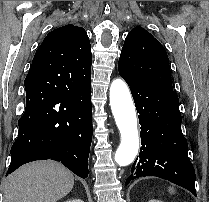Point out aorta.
I'll use <instances>...</instances> for the list:
<instances>
[{
  "mask_svg": "<svg viewBox=\"0 0 209 202\" xmlns=\"http://www.w3.org/2000/svg\"><path fill=\"white\" fill-rule=\"evenodd\" d=\"M110 106L120 131L121 142L115 153L119 166L132 163L139 149V132L133 100L127 84L122 79H115L109 90Z\"/></svg>",
  "mask_w": 209,
  "mask_h": 202,
  "instance_id": "1",
  "label": "aorta"
}]
</instances>
